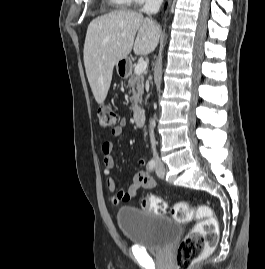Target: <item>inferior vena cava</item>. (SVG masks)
Masks as SVG:
<instances>
[{
	"mask_svg": "<svg viewBox=\"0 0 265 269\" xmlns=\"http://www.w3.org/2000/svg\"><path fill=\"white\" fill-rule=\"evenodd\" d=\"M163 0H146L143 8L141 9V12L147 13V14H155L159 11ZM149 134H150V142H151V148L153 151V157L155 159H158V154L156 151V141L154 137V127L153 122L150 121L149 125Z\"/></svg>",
	"mask_w": 265,
	"mask_h": 269,
	"instance_id": "inferior-vena-cava-1",
	"label": "inferior vena cava"
}]
</instances>
